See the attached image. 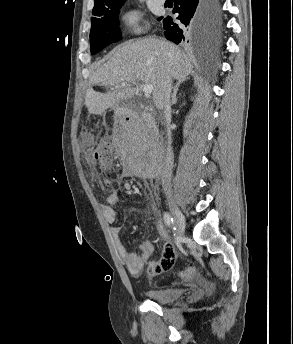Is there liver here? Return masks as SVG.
Here are the masks:
<instances>
[{"label": "liver", "mask_w": 293, "mask_h": 344, "mask_svg": "<svg viewBox=\"0 0 293 344\" xmlns=\"http://www.w3.org/2000/svg\"><path fill=\"white\" fill-rule=\"evenodd\" d=\"M189 56L164 39L149 37L129 41L119 47L90 79L91 85L109 86L110 91L99 93L89 87L85 105L91 114H102L117 103L132 98L138 82L153 85V101L161 109L159 93L169 75L183 82L192 72ZM125 83V86L121 84Z\"/></svg>", "instance_id": "liver-1"}]
</instances>
